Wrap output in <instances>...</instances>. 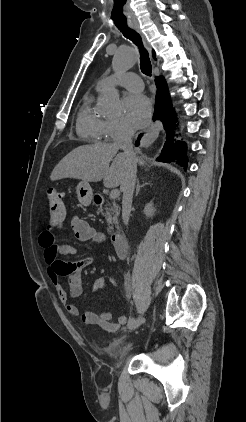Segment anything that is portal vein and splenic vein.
<instances>
[{
	"label": "portal vein and splenic vein",
	"mask_w": 246,
	"mask_h": 422,
	"mask_svg": "<svg viewBox=\"0 0 246 422\" xmlns=\"http://www.w3.org/2000/svg\"><path fill=\"white\" fill-rule=\"evenodd\" d=\"M119 195H120L119 190H118V189H114V190H112V191H111V193H110V198H111V199H116V198H118V197H119Z\"/></svg>",
	"instance_id": "obj_1"
}]
</instances>
